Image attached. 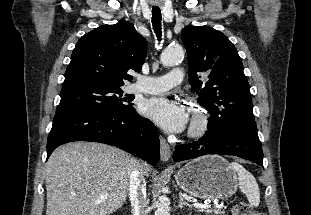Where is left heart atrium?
<instances>
[{
  "instance_id": "39dd6f15",
  "label": "left heart atrium",
  "mask_w": 311,
  "mask_h": 215,
  "mask_svg": "<svg viewBox=\"0 0 311 215\" xmlns=\"http://www.w3.org/2000/svg\"><path fill=\"white\" fill-rule=\"evenodd\" d=\"M141 111L144 116L170 133L183 131L189 120L187 109L179 101L164 96L146 100L141 105Z\"/></svg>"
}]
</instances>
